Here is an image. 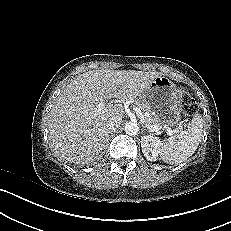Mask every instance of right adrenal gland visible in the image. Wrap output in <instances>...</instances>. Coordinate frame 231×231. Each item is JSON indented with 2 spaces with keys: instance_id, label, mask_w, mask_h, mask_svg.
Returning <instances> with one entry per match:
<instances>
[{
  "instance_id": "2a0ac1e0",
  "label": "right adrenal gland",
  "mask_w": 231,
  "mask_h": 231,
  "mask_svg": "<svg viewBox=\"0 0 231 231\" xmlns=\"http://www.w3.org/2000/svg\"><path fill=\"white\" fill-rule=\"evenodd\" d=\"M108 140H109V136H108L107 139H106V142H105L106 145H107V143H108ZM106 145H105V146H106ZM104 148H105V147H104Z\"/></svg>"
}]
</instances>
